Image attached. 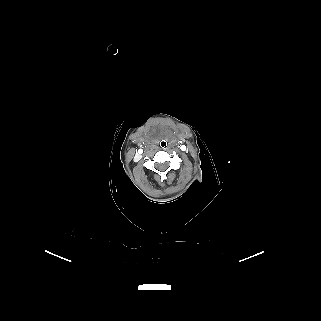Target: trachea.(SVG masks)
Segmentation results:
<instances>
[{"instance_id": "obj_1", "label": "trachea", "mask_w": 321, "mask_h": 321, "mask_svg": "<svg viewBox=\"0 0 321 321\" xmlns=\"http://www.w3.org/2000/svg\"><path fill=\"white\" fill-rule=\"evenodd\" d=\"M159 145H160V147H161L162 149H165V148L167 147V144H166V142H165L164 140H161V141L159 142Z\"/></svg>"}]
</instances>
